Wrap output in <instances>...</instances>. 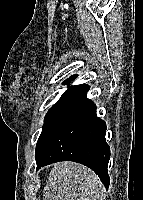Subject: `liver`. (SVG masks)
<instances>
[{
	"label": "liver",
	"instance_id": "obj_1",
	"mask_svg": "<svg viewBox=\"0 0 143 200\" xmlns=\"http://www.w3.org/2000/svg\"><path fill=\"white\" fill-rule=\"evenodd\" d=\"M104 186L88 167L75 162L55 163L43 190V200H103Z\"/></svg>",
	"mask_w": 143,
	"mask_h": 200
}]
</instances>
